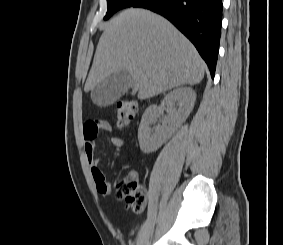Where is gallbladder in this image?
<instances>
[{
    "instance_id": "gallbladder-1",
    "label": "gallbladder",
    "mask_w": 283,
    "mask_h": 245,
    "mask_svg": "<svg viewBox=\"0 0 283 245\" xmlns=\"http://www.w3.org/2000/svg\"><path fill=\"white\" fill-rule=\"evenodd\" d=\"M134 84L128 71L121 70L113 73L91 91V99L94 104L105 107L116 102Z\"/></svg>"
}]
</instances>
